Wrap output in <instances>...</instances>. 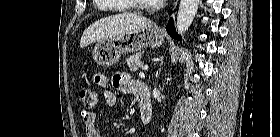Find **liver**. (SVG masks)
<instances>
[{
	"label": "liver",
	"mask_w": 280,
	"mask_h": 137,
	"mask_svg": "<svg viewBox=\"0 0 280 137\" xmlns=\"http://www.w3.org/2000/svg\"><path fill=\"white\" fill-rule=\"evenodd\" d=\"M152 24L150 19L133 13H122L102 18L88 26L81 37L80 47L121 35L127 31Z\"/></svg>",
	"instance_id": "1"
}]
</instances>
